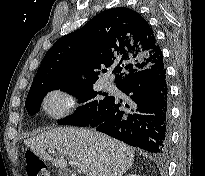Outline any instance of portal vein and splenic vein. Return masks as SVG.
Segmentation results:
<instances>
[{"mask_svg": "<svg viewBox=\"0 0 205 176\" xmlns=\"http://www.w3.org/2000/svg\"><path fill=\"white\" fill-rule=\"evenodd\" d=\"M51 153H55V151L50 150ZM69 164L75 168H77L78 170L82 171L84 174H86L88 176V168L85 167L84 165L80 164L77 161H73L70 160Z\"/></svg>", "mask_w": 205, "mask_h": 176, "instance_id": "18ae733b", "label": "portal vein and splenic vein"}]
</instances>
